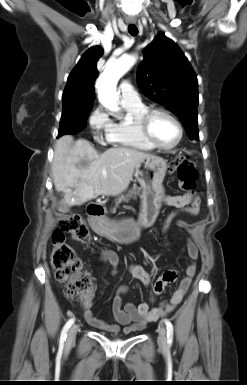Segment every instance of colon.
Returning a JSON list of instances; mask_svg holds the SVG:
<instances>
[{
  "label": "colon",
  "instance_id": "obj_1",
  "mask_svg": "<svg viewBox=\"0 0 247 385\" xmlns=\"http://www.w3.org/2000/svg\"><path fill=\"white\" fill-rule=\"evenodd\" d=\"M171 171H176L182 189L193 192L198 171L194 162L188 157L178 155L170 165ZM174 214H170L164 225L168 226ZM75 240L86 242L90 235L89 230L78 214H72L61 219L51 238V265L55 270V277L66 291L69 298L81 301L89 306L94 291V284L89 275L82 272L81 261L75 250L65 242V235Z\"/></svg>",
  "mask_w": 247,
  "mask_h": 385
}]
</instances>
